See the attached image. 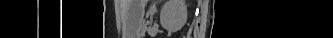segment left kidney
Returning <instances> with one entry per match:
<instances>
[{
  "mask_svg": "<svg viewBox=\"0 0 333 38\" xmlns=\"http://www.w3.org/2000/svg\"><path fill=\"white\" fill-rule=\"evenodd\" d=\"M187 21L185 0H167L160 12L161 26L170 31L181 30Z\"/></svg>",
  "mask_w": 333,
  "mask_h": 38,
  "instance_id": "1",
  "label": "left kidney"
}]
</instances>
